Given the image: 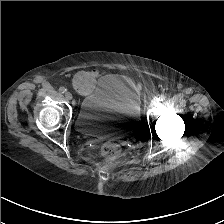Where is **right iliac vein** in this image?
Here are the masks:
<instances>
[{
  "instance_id": "right-iliac-vein-1",
  "label": "right iliac vein",
  "mask_w": 224,
  "mask_h": 224,
  "mask_svg": "<svg viewBox=\"0 0 224 224\" xmlns=\"http://www.w3.org/2000/svg\"><path fill=\"white\" fill-rule=\"evenodd\" d=\"M65 98H66L67 100H71V99L73 98V96H72V94H71L70 92H66V93H65Z\"/></svg>"
}]
</instances>
